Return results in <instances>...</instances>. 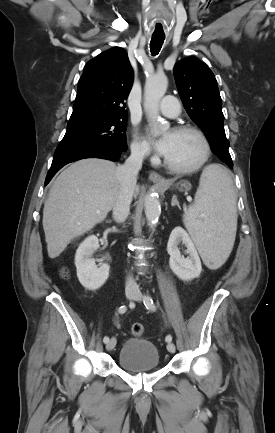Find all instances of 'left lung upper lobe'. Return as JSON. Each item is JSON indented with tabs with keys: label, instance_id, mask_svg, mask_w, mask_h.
<instances>
[{
	"label": "left lung upper lobe",
	"instance_id": "5c2ea615",
	"mask_svg": "<svg viewBox=\"0 0 275 433\" xmlns=\"http://www.w3.org/2000/svg\"><path fill=\"white\" fill-rule=\"evenodd\" d=\"M173 72L186 112L203 130L214 154L231 167L230 143L225 135L222 102L214 74L195 57L177 62Z\"/></svg>",
	"mask_w": 275,
	"mask_h": 433
}]
</instances>
